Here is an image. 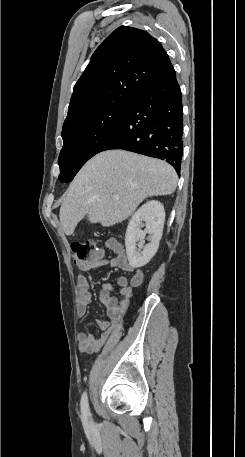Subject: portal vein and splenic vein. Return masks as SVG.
<instances>
[{"mask_svg":"<svg viewBox=\"0 0 245 457\" xmlns=\"http://www.w3.org/2000/svg\"><path fill=\"white\" fill-rule=\"evenodd\" d=\"M113 200H119V196L116 194V196H113Z\"/></svg>","mask_w":245,"mask_h":457,"instance_id":"portal-vein-and-splenic-vein-1","label":"portal vein and splenic vein"}]
</instances>
